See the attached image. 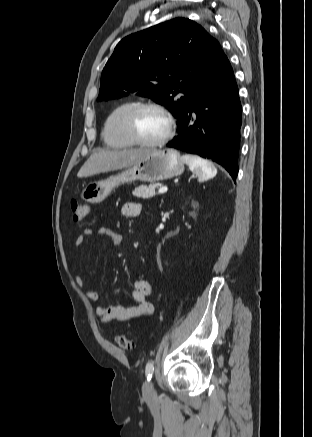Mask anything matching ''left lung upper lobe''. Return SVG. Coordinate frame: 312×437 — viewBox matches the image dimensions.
Returning <instances> with one entry per match:
<instances>
[{
	"instance_id": "1",
	"label": "left lung upper lobe",
	"mask_w": 312,
	"mask_h": 437,
	"mask_svg": "<svg viewBox=\"0 0 312 437\" xmlns=\"http://www.w3.org/2000/svg\"><path fill=\"white\" fill-rule=\"evenodd\" d=\"M224 52L200 25L176 18L122 39L105 65L97 101L136 93L179 120L219 67ZM182 92L180 99L175 96Z\"/></svg>"
}]
</instances>
